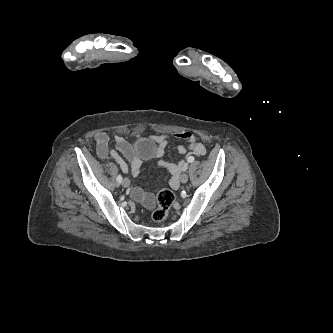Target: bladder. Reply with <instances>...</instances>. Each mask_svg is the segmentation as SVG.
<instances>
[{"label": "bladder", "mask_w": 333, "mask_h": 333, "mask_svg": "<svg viewBox=\"0 0 333 333\" xmlns=\"http://www.w3.org/2000/svg\"><path fill=\"white\" fill-rule=\"evenodd\" d=\"M157 145L149 138H140L136 143L138 155L143 159L152 158L155 155Z\"/></svg>", "instance_id": "1"}]
</instances>
